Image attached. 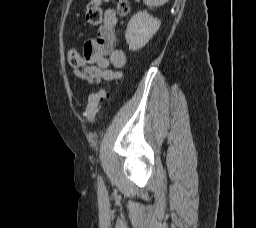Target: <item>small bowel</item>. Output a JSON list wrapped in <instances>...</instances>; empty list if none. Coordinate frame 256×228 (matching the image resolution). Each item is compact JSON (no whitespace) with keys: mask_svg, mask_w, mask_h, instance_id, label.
I'll return each mask as SVG.
<instances>
[{"mask_svg":"<svg viewBox=\"0 0 256 228\" xmlns=\"http://www.w3.org/2000/svg\"><path fill=\"white\" fill-rule=\"evenodd\" d=\"M118 37L117 15L114 10L107 9L98 36L88 40L84 45L87 65L82 69H76V74L90 83L97 84L121 78L120 71L110 69H120L126 63L125 52L115 47Z\"/></svg>","mask_w":256,"mask_h":228,"instance_id":"c3829d8e","label":"small bowel"}]
</instances>
